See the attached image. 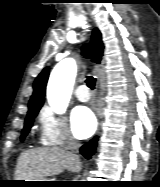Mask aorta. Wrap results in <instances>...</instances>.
Returning <instances> with one entry per match:
<instances>
[{"instance_id": "obj_1", "label": "aorta", "mask_w": 160, "mask_h": 187, "mask_svg": "<svg viewBox=\"0 0 160 187\" xmlns=\"http://www.w3.org/2000/svg\"><path fill=\"white\" fill-rule=\"evenodd\" d=\"M76 74L77 66L72 58L59 62L52 70L47 86V100L56 113H63L66 110Z\"/></svg>"}]
</instances>
